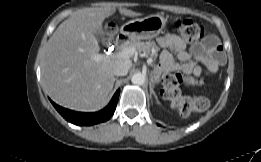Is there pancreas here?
<instances>
[{"mask_svg": "<svg viewBox=\"0 0 261 162\" xmlns=\"http://www.w3.org/2000/svg\"><path fill=\"white\" fill-rule=\"evenodd\" d=\"M130 47H135L140 52H145L148 54H152V58L155 60L158 56V51L160 48L156 45L154 41H132Z\"/></svg>", "mask_w": 261, "mask_h": 162, "instance_id": "1", "label": "pancreas"}]
</instances>
